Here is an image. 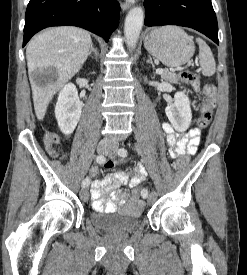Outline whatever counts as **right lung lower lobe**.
I'll return each mask as SVG.
<instances>
[{"mask_svg":"<svg viewBox=\"0 0 247 275\" xmlns=\"http://www.w3.org/2000/svg\"><path fill=\"white\" fill-rule=\"evenodd\" d=\"M119 18L117 0H30L25 15L23 46L38 31L62 25L82 27L108 41Z\"/></svg>","mask_w":247,"mask_h":275,"instance_id":"obj_1","label":"right lung lower lobe"}]
</instances>
